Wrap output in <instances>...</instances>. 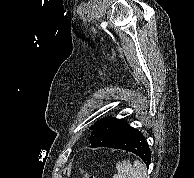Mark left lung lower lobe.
<instances>
[{
    "label": "left lung lower lobe",
    "instance_id": "0a47b994",
    "mask_svg": "<svg viewBox=\"0 0 194 178\" xmlns=\"http://www.w3.org/2000/svg\"><path fill=\"white\" fill-rule=\"evenodd\" d=\"M90 145L127 150L138 155L148 166L151 162V151L137 129L128 125L125 120L106 117L101 119L91 132Z\"/></svg>",
    "mask_w": 194,
    "mask_h": 178
}]
</instances>
